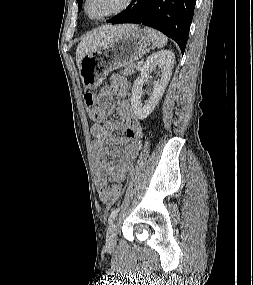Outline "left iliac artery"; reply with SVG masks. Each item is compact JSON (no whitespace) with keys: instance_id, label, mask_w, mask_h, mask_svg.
<instances>
[{"instance_id":"44dca946","label":"left iliac artery","mask_w":253,"mask_h":285,"mask_svg":"<svg viewBox=\"0 0 253 285\" xmlns=\"http://www.w3.org/2000/svg\"><path fill=\"white\" fill-rule=\"evenodd\" d=\"M118 212H119V208H114L111 211L110 216H109V220H108L109 224H112L114 222Z\"/></svg>"}]
</instances>
